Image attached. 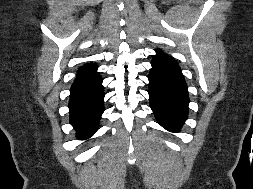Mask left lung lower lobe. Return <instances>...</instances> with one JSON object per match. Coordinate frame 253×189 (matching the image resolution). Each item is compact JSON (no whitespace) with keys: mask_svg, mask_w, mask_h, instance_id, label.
<instances>
[{"mask_svg":"<svg viewBox=\"0 0 253 189\" xmlns=\"http://www.w3.org/2000/svg\"><path fill=\"white\" fill-rule=\"evenodd\" d=\"M151 64L150 107L162 127L178 132L188 115L189 97L184 76L173 60L156 58Z\"/></svg>","mask_w":253,"mask_h":189,"instance_id":"left-lung-lower-lobe-1","label":"left lung lower lobe"}]
</instances>
